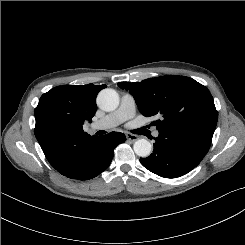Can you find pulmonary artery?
Segmentation results:
<instances>
[{"mask_svg": "<svg viewBox=\"0 0 245 245\" xmlns=\"http://www.w3.org/2000/svg\"><path fill=\"white\" fill-rule=\"evenodd\" d=\"M136 107L134 98L129 95H123L121 99V104L118 109L109 113L102 119L97 120L92 124L93 129H109L113 128L124 121L132 118L135 115ZM158 135V132L155 133Z\"/></svg>", "mask_w": 245, "mask_h": 245, "instance_id": "1", "label": "pulmonary artery"}]
</instances>
